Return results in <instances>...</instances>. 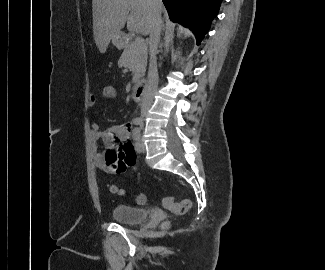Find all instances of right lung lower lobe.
<instances>
[{"label": "right lung lower lobe", "mask_w": 325, "mask_h": 270, "mask_svg": "<svg viewBox=\"0 0 325 270\" xmlns=\"http://www.w3.org/2000/svg\"><path fill=\"white\" fill-rule=\"evenodd\" d=\"M173 22L190 28L199 44L218 14L222 0H162Z\"/></svg>", "instance_id": "1"}]
</instances>
